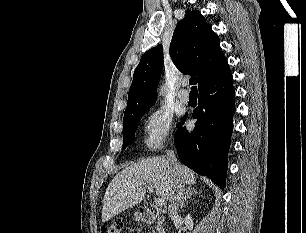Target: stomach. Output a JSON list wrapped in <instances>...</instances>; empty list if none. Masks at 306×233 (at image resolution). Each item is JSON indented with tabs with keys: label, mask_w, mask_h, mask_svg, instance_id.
<instances>
[{
	"label": "stomach",
	"mask_w": 306,
	"mask_h": 233,
	"mask_svg": "<svg viewBox=\"0 0 306 233\" xmlns=\"http://www.w3.org/2000/svg\"><path fill=\"white\" fill-rule=\"evenodd\" d=\"M134 218H135L136 221H140L141 220V216H140V214L138 212H136L134 214Z\"/></svg>",
	"instance_id": "stomach-1"
}]
</instances>
